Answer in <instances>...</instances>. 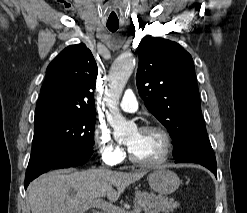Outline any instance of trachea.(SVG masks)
Wrapping results in <instances>:
<instances>
[{"label": "trachea", "instance_id": "1", "mask_svg": "<svg viewBox=\"0 0 247 213\" xmlns=\"http://www.w3.org/2000/svg\"><path fill=\"white\" fill-rule=\"evenodd\" d=\"M107 28L111 31V32H115L118 28L119 25L115 24V25H107Z\"/></svg>", "mask_w": 247, "mask_h": 213}]
</instances>
